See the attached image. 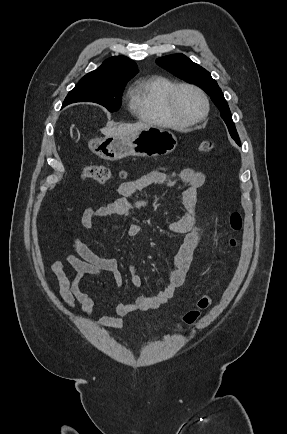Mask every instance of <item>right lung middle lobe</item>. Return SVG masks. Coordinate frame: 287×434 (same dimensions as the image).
<instances>
[{"label": "right lung middle lobe", "instance_id": "obj_1", "mask_svg": "<svg viewBox=\"0 0 287 434\" xmlns=\"http://www.w3.org/2000/svg\"><path fill=\"white\" fill-rule=\"evenodd\" d=\"M127 81L81 79L64 100L63 107L74 102H95L110 112L117 111Z\"/></svg>", "mask_w": 287, "mask_h": 434}]
</instances>
